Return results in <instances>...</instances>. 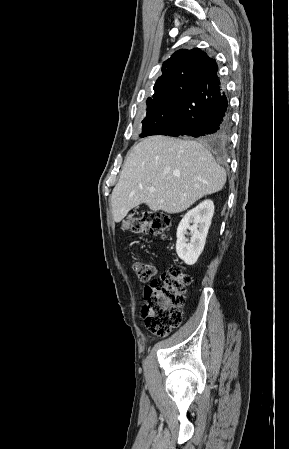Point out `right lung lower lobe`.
I'll list each match as a JSON object with an SVG mask.
<instances>
[{
    "label": "right lung lower lobe",
    "mask_w": 289,
    "mask_h": 449,
    "mask_svg": "<svg viewBox=\"0 0 289 449\" xmlns=\"http://www.w3.org/2000/svg\"><path fill=\"white\" fill-rule=\"evenodd\" d=\"M171 96L176 117L159 125L153 135L226 139L230 124L229 106L217 72L207 80L177 81Z\"/></svg>",
    "instance_id": "right-lung-lower-lobe-1"
}]
</instances>
